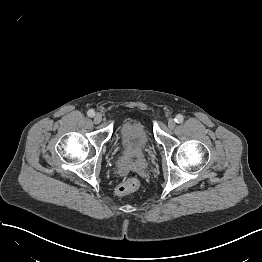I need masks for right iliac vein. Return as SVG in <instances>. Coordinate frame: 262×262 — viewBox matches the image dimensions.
Here are the masks:
<instances>
[{
  "instance_id": "obj_1",
  "label": "right iliac vein",
  "mask_w": 262,
  "mask_h": 262,
  "mask_svg": "<svg viewBox=\"0 0 262 262\" xmlns=\"http://www.w3.org/2000/svg\"><path fill=\"white\" fill-rule=\"evenodd\" d=\"M102 121V115L100 113H96L94 116V122L99 124Z\"/></svg>"
}]
</instances>
